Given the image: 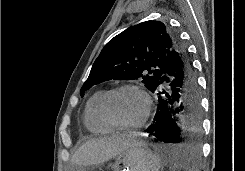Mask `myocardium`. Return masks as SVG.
I'll return each instance as SVG.
<instances>
[{
    "mask_svg": "<svg viewBox=\"0 0 245 171\" xmlns=\"http://www.w3.org/2000/svg\"><path fill=\"white\" fill-rule=\"evenodd\" d=\"M132 89L138 91L144 98L145 101V111L141 120L135 124H122L118 122L111 114L109 110V102L112 96L120 91ZM152 100L149 93L140 85L133 83H126L118 85L104 93L101 98L99 110L102 118L113 128L123 131H134L145 126L150 114H151Z\"/></svg>",
    "mask_w": 245,
    "mask_h": 171,
    "instance_id": "f54148a6",
    "label": "myocardium"
}]
</instances>
